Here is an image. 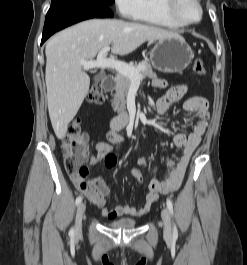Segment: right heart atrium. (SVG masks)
Returning <instances> with one entry per match:
<instances>
[{"label":"right heart atrium","instance_id":"1","mask_svg":"<svg viewBox=\"0 0 247 265\" xmlns=\"http://www.w3.org/2000/svg\"><path fill=\"white\" fill-rule=\"evenodd\" d=\"M120 14L127 19H134L140 8V0H114Z\"/></svg>","mask_w":247,"mask_h":265}]
</instances>
